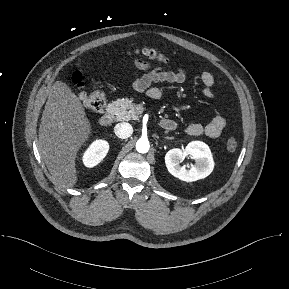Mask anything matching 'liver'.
<instances>
[{
  "instance_id": "obj_1",
  "label": "liver",
  "mask_w": 289,
  "mask_h": 289,
  "mask_svg": "<svg viewBox=\"0 0 289 289\" xmlns=\"http://www.w3.org/2000/svg\"><path fill=\"white\" fill-rule=\"evenodd\" d=\"M91 134L85 109L72 90L56 81L48 95L39 126V149L53 183L72 188L77 183L76 157Z\"/></svg>"
}]
</instances>
